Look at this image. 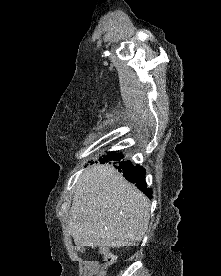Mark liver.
<instances>
[{
    "label": "liver",
    "instance_id": "6515ba94",
    "mask_svg": "<svg viewBox=\"0 0 221 276\" xmlns=\"http://www.w3.org/2000/svg\"><path fill=\"white\" fill-rule=\"evenodd\" d=\"M149 219L147 197L114 167L93 165L79 176L68 220L77 246H135Z\"/></svg>",
    "mask_w": 221,
    "mask_h": 276
}]
</instances>
